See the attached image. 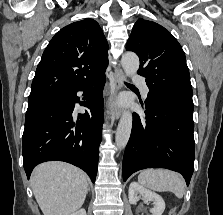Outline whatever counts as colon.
<instances>
[{
  "label": "colon",
  "instance_id": "1",
  "mask_svg": "<svg viewBox=\"0 0 223 215\" xmlns=\"http://www.w3.org/2000/svg\"><path fill=\"white\" fill-rule=\"evenodd\" d=\"M175 214H176V211L172 210L169 215H175Z\"/></svg>",
  "mask_w": 223,
  "mask_h": 215
}]
</instances>
